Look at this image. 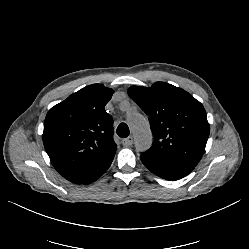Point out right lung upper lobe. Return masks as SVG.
<instances>
[{"instance_id":"1","label":"right lung upper lobe","mask_w":249,"mask_h":249,"mask_svg":"<svg viewBox=\"0 0 249 249\" xmlns=\"http://www.w3.org/2000/svg\"><path fill=\"white\" fill-rule=\"evenodd\" d=\"M113 90L92 84L52 107L44 121L43 143L54 168L83 184L112 162L113 119L104 107Z\"/></svg>"}]
</instances>
